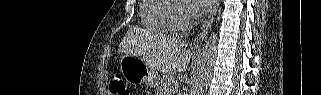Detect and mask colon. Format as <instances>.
<instances>
[{
	"instance_id": "obj_1",
	"label": "colon",
	"mask_w": 321,
	"mask_h": 95,
	"mask_svg": "<svg viewBox=\"0 0 321 95\" xmlns=\"http://www.w3.org/2000/svg\"><path fill=\"white\" fill-rule=\"evenodd\" d=\"M110 90L114 94H119V95H129L130 94L127 85L125 84L123 79L118 75H115L112 77V79L110 81Z\"/></svg>"
}]
</instances>
